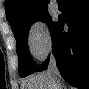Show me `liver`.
<instances>
[{"label":"liver","instance_id":"1","mask_svg":"<svg viewBox=\"0 0 89 89\" xmlns=\"http://www.w3.org/2000/svg\"><path fill=\"white\" fill-rule=\"evenodd\" d=\"M54 81H59L58 77L47 70L28 77L22 84V89H54Z\"/></svg>","mask_w":89,"mask_h":89}]
</instances>
